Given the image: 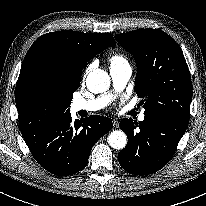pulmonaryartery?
<instances>
[{"instance_id": "pulmonary-artery-1", "label": "pulmonary artery", "mask_w": 206, "mask_h": 206, "mask_svg": "<svg viewBox=\"0 0 206 206\" xmlns=\"http://www.w3.org/2000/svg\"><path fill=\"white\" fill-rule=\"evenodd\" d=\"M131 74L132 68L128 63H121L110 67V75L114 90L121 91L124 89L131 77ZM112 98V94H105L90 100H75L72 103V107L74 111L95 112L107 106ZM138 119L139 121H143L145 119V115L143 113L140 114Z\"/></svg>"}]
</instances>
